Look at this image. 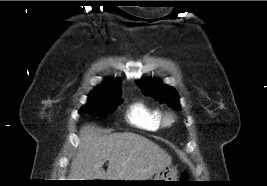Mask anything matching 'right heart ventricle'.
<instances>
[{
	"label": "right heart ventricle",
	"instance_id": "obj_1",
	"mask_svg": "<svg viewBox=\"0 0 267 186\" xmlns=\"http://www.w3.org/2000/svg\"><path fill=\"white\" fill-rule=\"evenodd\" d=\"M162 113L160 108L138 101L130 106L127 120L137 128L153 132L162 127Z\"/></svg>",
	"mask_w": 267,
	"mask_h": 186
}]
</instances>
